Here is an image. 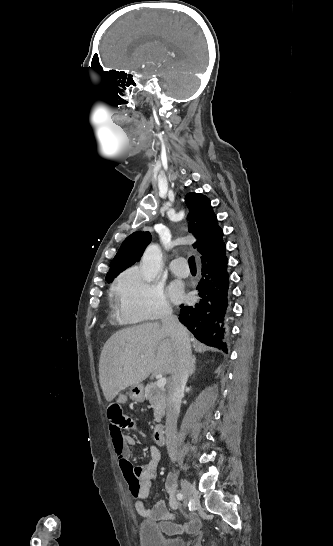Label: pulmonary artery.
<instances>
[{
  "mask_svg": "<svg viewBox=\"0 0 333 546\" xmlns=\"http://www.w3.org/2000/svg\"><path fill=\"white\" fill-rule=\"evenodd\" d=\"M169 268L171 272L178 277H187L189 275V267L184 258H176L172 260Z\"/></svg>",
  "mask_w": 333,
  "mask_h": 546,
  "instance_id": "obj_1",
  "label": "pulmonary artery"
}]
</instances>
